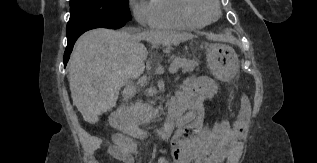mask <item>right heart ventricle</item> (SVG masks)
<instances>
[{
	"instance_id": "obj_1",
	"label": "right heart ventricle",
	"mask_w": 317,
	"mask_h": 163,
	"mask_svg": "<svg viewBox=\"0 0 317 163\" xmlns=\"http://www.w3.org/2000/svg\"><path fill=\"white\" fill-rule=\"evenodd\" d=\"M154 6L151 27L154 29L195 30L205 24L187 18L181 10V0H152Z\"/></svg>"
}]
</instances>
